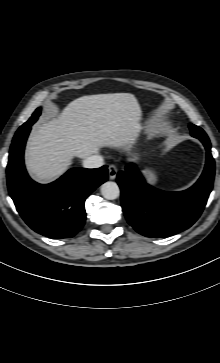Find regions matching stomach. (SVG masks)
I'll list each match as a JSON object with an SVG mask.
<instances>
[{"instance_id":"stomach-1","label":"stomach","mask_w":220,"mask_h":363,"mask_svg":"<svg viewBox=\"0 0 220 363\" xmlns=\"http://www.w3.org/2000/svg\"><path fill=\"white\" fill-rule=\"evenodd\" d=\"M142 174L149 184L154 185L156 183L157 177L154 171L150 169H145L142 171Z\"/></svg>"}]
</instances>
